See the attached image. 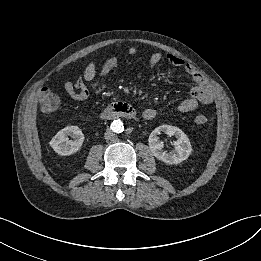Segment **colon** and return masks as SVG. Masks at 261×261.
<instances>
[{
    "label": "colon",
    "mask_w": 261,
    "mask_h": 261,
    "mask_svg": "<svg viewBox=\"0 0 261 261\" xmlns=\"http://www.w3.org/2000/svg\"><path fill=\"white\" fill-rule=\"evenodd\" d=\"M209 81L207 78L202 80L199 83H196L190 89V94L196 95L203 86H205ZM40 109L42 112L50 113L57 110L59 106V97L53 93L50 89L42 91L39 97ZM207 121V118L203 114H198L195 116V122L197 124H204Z\"/></svg>",
    "instance_id": "colon-1"
}]
</instances>
